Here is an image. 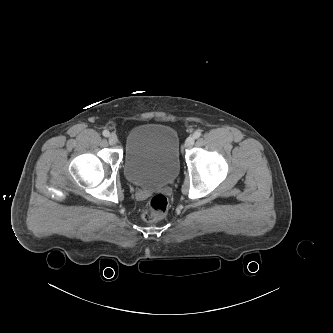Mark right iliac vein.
I'll use <instances>...</instances> for the list:
<instances>
[{
  "label": "right iliac vein",
  "instance_id": "right-iliac-vein-1",
  "mask_svg": "<svg viewBox=\"0 0 333 333\" xmlns=\"http://www.w3.org/2000/svg\"><path fill=\"white\" fill-rule=\"evenodd\" d=\"M108 141H109V144H111V145H115V144L118 143V138H117L116 135L111 134V135L109 136V138H108Z\"/></svg>",
  "mask_w": 333,
  "mask_h": 333
}]
</instances>
